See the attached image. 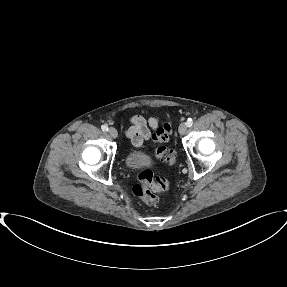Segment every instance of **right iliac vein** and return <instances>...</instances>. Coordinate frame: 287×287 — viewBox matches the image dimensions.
Listing matches in <instances>:
<instances>
[{"mask_svg":"<svg viewBox=\"0 0 287 287\" xmlns=\"http://www.w3.org/2000/svg\"><path fill=\"white\" fill-rule=\"evenodd\" d=\"M109 135L112 137V138H117L118 136V132L115 128H110L109 129Z\"/></svg>","mask_w":287,"mask_h":287,"instance_id":"1","label":"right iliac vein"}]
</instances>
